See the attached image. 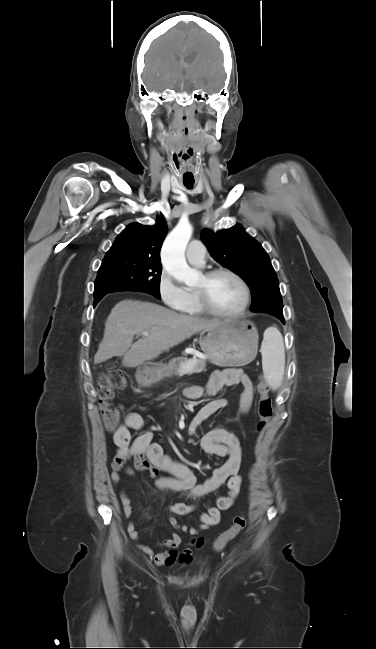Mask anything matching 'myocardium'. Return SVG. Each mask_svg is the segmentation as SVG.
I'll return each mask as SVG.
<instances>
[{
	"instance_id": "obj_1",
	"label": "myocardium",
	"mask_w": 376,
	"mask_h": 649,
	"mask_svg": "<svg viewBox=\"0 0 376 649\" xmlns=\"http://www.w3.org/2000/svg\"><path fill=\"white\" fill-rule=\"evenodd\" d=\"M220 274L230 275L241 286L242 291H243V301H242L241 306L236 311H233V312H224V311L218 310L217 308H215L210 303L205 285L195 289L198 301H199L202 309L208 314H211V315L216 316V317L228 318V319L238 318V317L242 316L245 313V311L247 310V308L249 306V303H250V289H249V286H248L247 282L244 280V278L241 275H239L234 270H231V269L225 268V267H220V268H215V269L209 270V271L205 272L202 277H203L205 283H207L212 278H214L215 276L220 275Z\"/></svg>"
}]
</instances>
